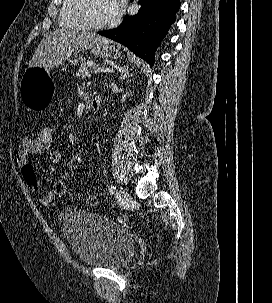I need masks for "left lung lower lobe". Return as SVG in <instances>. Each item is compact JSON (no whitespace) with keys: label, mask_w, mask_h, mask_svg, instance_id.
Segmentation results:
<instances>
[{"label":"left lung lower lobe","mask_w":272,"mask_h":303,"mask_svg":"<svg viewBox=\"0 0 272 303\" xmlns=\"http://www.w3.org/2000/svg\"><path fill=\"white\" fill-rule=\"evenodd\" d=\"M134 16H126L115 29L100 31V35L128 47L137 56L154 64V52L165 37L180 8V0H139Z\"/></svg>","instance_id":"obj_1"}]
</instances>
